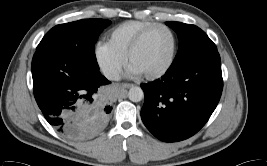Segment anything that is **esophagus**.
Listing matches in <instances>:
<instances>
[{
	"label": "esophagus",
	"mask_w": 267,
	"mask_h": 166,
	"mask_svg": "<svg viewBox=\"0 0 267 166\" xmlns=\"http://www.w3.org/2000/svg\"><path fill=\"white\" fill-rule=\"evenodd\" d=\"M132 86V84H129V83H125V84H123V87L124 88H130Z\"/></svg>",
	"instance_id": "obj_1"
}]
</instances>
